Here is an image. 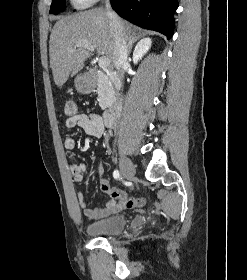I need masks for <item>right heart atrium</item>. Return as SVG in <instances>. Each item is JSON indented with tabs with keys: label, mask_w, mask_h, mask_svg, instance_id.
Returning <instances> with one entry per match:
<instances>
[{
	"label": "right heart atrium",
	"mask_w": 247,
	"mask_h": 280,
	"mask_svg": "<svg viewBox=\"0 0 247 280\" xmlns=\"http://www.w3.org/2000/svg\"><path fill=\"white\" fill-rule=\"evenodd\" d=\"M73 1L76 5L84 7V6H89L98 0H73Z\"/></svg>",
	"instance_id": "d8ad5b80"
}]
</instances>
